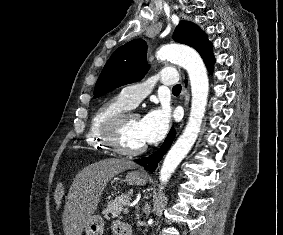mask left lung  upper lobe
Here are the masks:
<instances>
[{"mask_svg": "<svg viewBox=\"0 0 283 235\" xmlns=\"http://www.w3.org/2000/svg\"><path fill=\"white\" fill-rule=\"evenodd\" d=\"M173 39L197 50L206 66L214 63L212 44L205 33L194 23L180 21L173 34ZM146 53L147 45L142 39L132 40L119 47L107 61L97 80L94 98L143 78L148 68Z\"/></svg>", "mask_w": 283, "mask_h": 235, "instance_id": "left-lung-upper-lobe-1", "label": "left lung upper lobe"}]
</instances>
